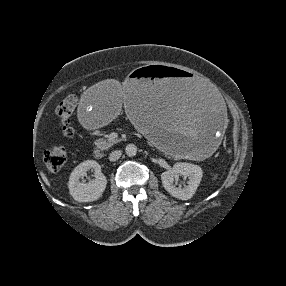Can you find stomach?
I'll list each match as a JSON object with an SVG mask.
<instances>
[{
  "label": "stomach",
  "instance_id": "1",
  "mask_svg": "<svg viewBox=\"0 0 286 286\" xmlns=\"http://www.w3.org/2000/svg\"><path fill=\"white\" fill-rule=\"evenodd\" d=\"M80 118L95 129L124 112L158 147L198 155L220 138L225 115L213 89L191 73L155 65L132 71L124 87L101 79L84 87L76 100Z\"/></svg>",
  "mask_w": 286,
  "mask_h": 286
}]
</instances>
